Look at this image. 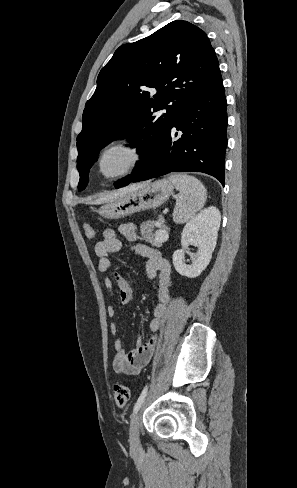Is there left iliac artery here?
I'll list each match as a JSON object with an SVG mask.
<instances>
[{
  "label": "left iliac artery",
  "mask_w": 297,
  "mask_h": 488,
  "mask_svg": "<svg viewBox=\"0 0 297 488\" xmlns=\"http://www.w3.org/2000/svg\"><path fill=\"white\" fill-rule=\"evenodd\" d=\"M147 391H148V387L145 386L134 405L133 413H137L138 410L141 408L142 404L144 403L145 397L147 395Z\"/></svg>",
  "instance_id": "1"
}]
</instances>
